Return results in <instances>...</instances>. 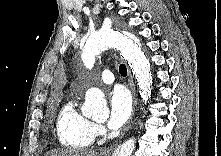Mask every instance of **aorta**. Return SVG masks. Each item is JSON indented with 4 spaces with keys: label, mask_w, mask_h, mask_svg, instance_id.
Here are the masks:
<instances>
[{
    "label": "aorta",
    "mask_w": 221,
    "mask_h": 156,
    "mask_svg": "<svg viewBox=\"0 0 221 156\" xmlns=\"http://www.w3.org/2000/svg\"><path fill=\"white\" fill-rule=\"evenodd\" d=\"M109 48L118 49L128 62L136 77L141 97L146 103L151 96L152 73L149 61L134 35L113 28L92 34L86 40L82 50L81 57L85 66L89 69L92 68L95 63V56ZM81 111L84 116L95 120L107 119L109 109L104 93L98 88H89L86 91L85 102ZM135 143V138L128 139L114 156H132Z\"/></svg>",
    "instance_id": "1"
}]
</instances>
